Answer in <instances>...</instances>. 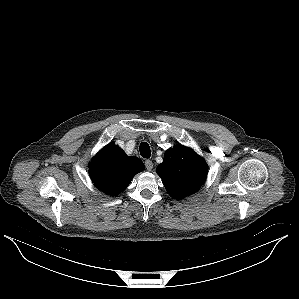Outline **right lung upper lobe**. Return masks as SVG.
Returning <instances> with one entry per match:
<instances>
[{"mask_svg":"<svg viewBox=\"0 0 299 299\" xmlns=\"http://www.w3.org/2000/svg\"><path fill=\"white\" fill-rule=\"evenodd\" d=\"M144 167L138 157L127 156L120 147L110 143L101 149L89 164V175L102 192L117 195Z\"/></svg>","mask_w":299,"mask_h":299,"instance_id":"1","label":"right lung upper lobe"}]
</instances>
